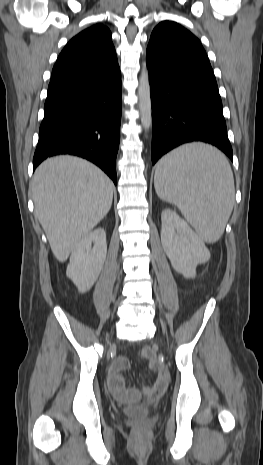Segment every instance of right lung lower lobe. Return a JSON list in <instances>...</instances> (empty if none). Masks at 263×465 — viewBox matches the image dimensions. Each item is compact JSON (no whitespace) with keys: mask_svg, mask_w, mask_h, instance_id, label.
Listing matches in <instances>:
<instances>
[{"mask_svg":"<svg viewBox=\"0 0 263 465\" xmlns=\"http://www.w3.org/2000/svg\"><path fill=\"white\" fill-rule=\"evenodd\" d=\"M120 123V70L48 89L33 169L47 157L71 154L95 163L116 184Z\"/></svg>","mask_w":263,"mask_h":465,"instance_id":"1","label":"right lung lower lobe"}]
</instances>
